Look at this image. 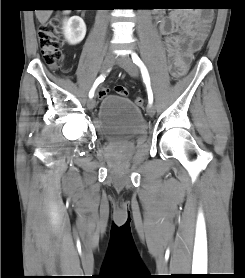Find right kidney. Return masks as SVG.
<instances>
[{
  "instance_id": "right-kidney-1",
  "label": "right kidney",
  "mask_w": 245,
  "mask_h": 278,
  "mask_svg": "<svg viewBox=\"0 0 245 278\" xmlns=\"http://www.w3.org/2000/svg\"><path fill=\"white\" fill-rule=\"evenodd\" d=\"M65 13H69L68 10ZM64 37L71 45L80 43L86 35V25L79 16H72L65 19L63 24Z\"/></svg>"
}]
</instances>
